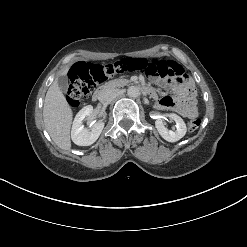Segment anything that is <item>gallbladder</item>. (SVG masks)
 Here are the masks:
<instances>
[{
  "label": "gallbladder",
  "mask_w": 247,
  "mask_h": 247,
  "mask_svg": "<svg viewBox=\"0 0 247 247\" xmlns=\"http://www.w3.org/2000/svg\"><path fill=\"white\" fill-rule=\"evenodd\" d=\"M57 82L60 90L66 92L68 89V79L65 76H59Z\"/></svg>",
  "instance_id": "bac80fb5"
}]
</instances>
